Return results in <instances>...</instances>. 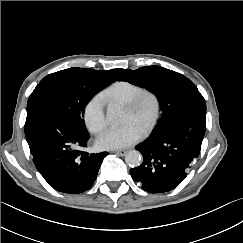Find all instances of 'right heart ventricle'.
<instances>
[{"label":"right heart ventricle","instance_id":"right-heart-ventricle-1","mask_svg":"<svg viewBox=\"0 0 243 243\" xmlns=\"http://www.w3.org/2000/svg\"><path fill=\"white\" fill-rule=\"evenodd\" d=\"M142 89H144L142 86L129 81H117L105 89L103 96L110 102L125 105L130 102Z\"/></svg>","mask_w":243,"mask_h":243}]
</instances>
